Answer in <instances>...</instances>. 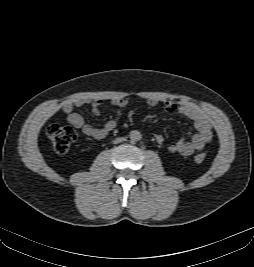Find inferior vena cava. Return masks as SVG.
<instances>
[{"label": "inferior vena cava", "mask_w": 254, "mask_h": 267, "mask_svg": "<svg viewBox=\"0 0 254 267\" xmlns=\"http://www.w3.org/2000/svg\"><path fill=\"white\" fill-rule=\"evenodd\" d=\"M123 141V138H117L114 143H119V142H122Z\"/></svg>", "instance_id": "1"}]
</instances>
